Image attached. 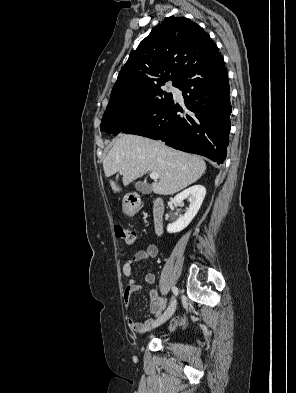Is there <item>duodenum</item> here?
<instances>
[{
	"label": "duodenum",
	"mask_w": 296,
	"mask_h": 393,
	"mask_svg": "<svg viewBox=\"0 0 296 393\" xmlns=\"http://www.w3.org/2000/svg\"><path fill=\"white\" fill-rule=\"evenodd\" d=\"M126 202L128 207L132 211H135L139 206V198L136 195L127 196ZM163 214H164L163 201L160 198H156L153 205V223H154V228L158 233H160L162 230Z\"/></svg>",
	"instance_id": "obj_1"
}]
</instances>
